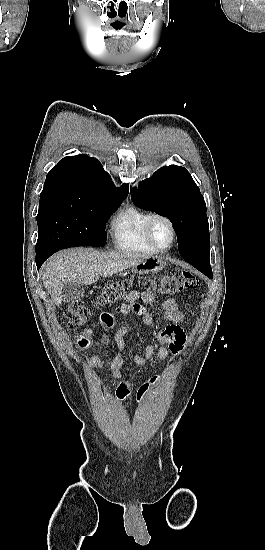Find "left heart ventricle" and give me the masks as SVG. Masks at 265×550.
<instances>
[{"instance_id":"obj_1","label":"left heart ventricle","mask_w":265,"mask_h":550,"mask_svg":"<svg viewBox=\"0 0 265 550\" xmlns=\"http://www.w3.org/2000/svg\"><path fill=\"white\" fill-rule=\"evenodd\" d=\"M153 237L157 244L166 247L171 241V232L168 225L163 221H156L152 229Z\"/></svg>"}]
</instances>
